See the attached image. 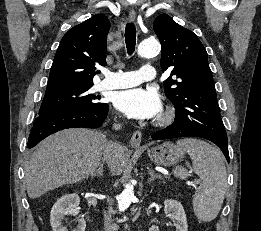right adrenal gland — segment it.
<instances>
[{
    "mask_svg": "<svg viewBox=\"0 0 261 231\" xmlns=\"http://www.w3.org/2000/svg\"><path fill=\"white\" fill-rule=\"evenodd\" d=\"M102 177L103 176V163H100L98 169L91 175L92 178L94 177Z\"/></svg>",
    "mask_w": 261,
    "mask_h": 231,
    "instance_id": "1",
    "label": "right adrenal gland"
}]
</instances>
